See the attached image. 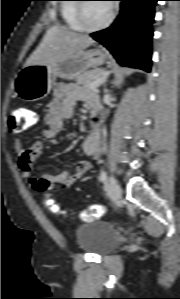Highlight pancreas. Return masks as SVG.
<instances>
[{"instance_id": "pancreas-1", "label": "pancreas", "mask_w": 180, "mask_h": 299, "mask_svg": "<svg viewBox=\"0 0 180 299\" xmlns=\"http://www.w3.org/2000/svg\"><path fill=\"white\" fill-rule=\"evenodd\" d=\"M105 73L104 69H94L86 71L76 77V85L90 89V84Z\"/></svg>"}]
</instances>
